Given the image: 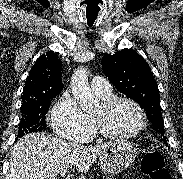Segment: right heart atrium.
<instances>
[{
    "label": "right heart atrium",
    "instance_id": "1",
    "mask_svg": "<svg viewBox=\"0 0 183 179\" xmlns=\"http://www.w3.org/2000/svg\"><path fill=\"white\" fill-rule=\"evenodd\" d=\"M51 125L65 139L84 140L93 131L92 119L85 114L73 96L64 93L54 104Z\"/></svg>",
    "mask_w": 183,
    "mask_h": 179
}]
</instances>
